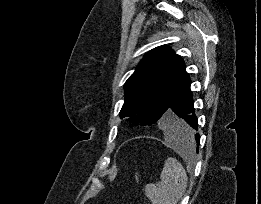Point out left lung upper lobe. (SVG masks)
<instances>
[{"label":"left lung upper lobe","mask_w":261,"mask_h":204,"mask_svg":"<svg viewBox=\"0 0 261 204\" xmlns=\"http://www.w3.org/2000/svg\"><path fill=\"white\" fill-rule=\"evenodd\" d=\"M188 77L181 57L160 46L147 53L124 85L120 117L135 125L162 123L176 93Z\"/></svg>","instance_id":"left-lung-upper-lobe-1"}]
</instances>
